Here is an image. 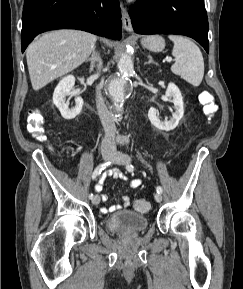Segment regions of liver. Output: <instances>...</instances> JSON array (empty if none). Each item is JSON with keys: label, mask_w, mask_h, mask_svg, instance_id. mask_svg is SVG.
Masks as SVG:
<instances>
[{"label": "liver", "mask_w": 243, "mask_h": 289, "mask_svg": "<svg viewBox=\"0 0 243 289\" xmlns=\"http://www.w3.org/2000/svg\"><path fill=\"white\" fill-rule=\"evenodd\" d=\"M96 41V35L91 33L61 29L32 42L26 50V59L33 89L38 91L80 66L88 59Z\"/></svg>", "instance_id": "6515ba94"}]
</instances>
